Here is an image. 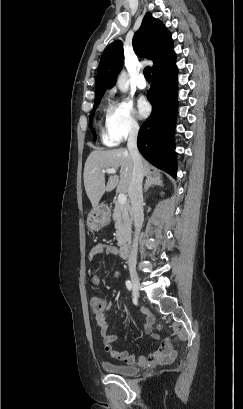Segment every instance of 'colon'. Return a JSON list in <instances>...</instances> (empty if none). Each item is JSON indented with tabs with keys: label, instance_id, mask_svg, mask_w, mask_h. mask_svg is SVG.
I'll return each instance as SVG.
<instances>
[{
	"label": "colon",
	"instance_id": "colon-1",
	"mask_svg": "<svg viewBox=\"0 0 243 409\" xmlns=\"http://www.w3.org/2000/svg\"><path fill=\"white\" fill-rule=\"evenodd\" d=\"M91 308L94 312H100L104 308V303L102 298L100 297H95L91 301Z\"/></svg>",
	"mask_w": 243,
	"mask_h": 409
}]
</instances>
